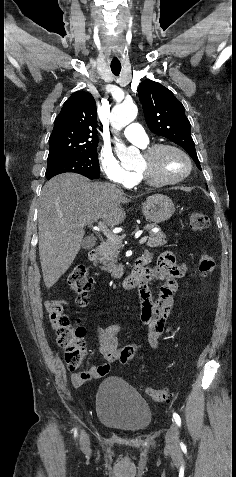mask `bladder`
Returning a JSON list of instances; mask_svg holds the SVG:
<instances>
[{
	"mask_svg": "<svg viewBox=\"0 0 236 477\" xmlns=\"http://www.w3.org/2000/svg\"><path fill=\"white\" fill-rule=\"evenodd\" d=\"M95 402L98 420L116 430L140 433L152 423L148 403L120 377L104 379L98 386Z\"/></svg>",
	"mask_w": 236,
	"mask_h": 477,
	"instance_id": "obj_1",
	"label": "bladder"
}]
</instances>
